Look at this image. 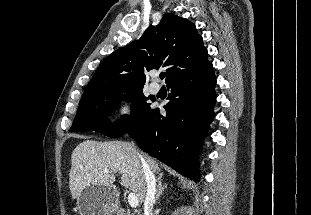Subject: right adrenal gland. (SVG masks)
Instances as JSON below:
<instances>
[{"label":"right adrenal gland","instance_id":"1","mask_svg":"<svg viewBox=\"0 0 311 215\" xmlns=\"http://www.w3.org/2000/svg\"><path fill=\"white\" fill-rule=\"evenodd\" d=\"M167 188V184H162V175L158 177V190L155 196L154 204H156L157 200L162 195L163 191Z\"/></svg>","mask_w":311,"mask_h":215}]
</instances>
